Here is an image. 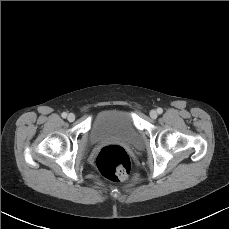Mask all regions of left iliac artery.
<instances>
[{"label":"left iliac artery","instance_id":"1","mask_svg":"<svg viewBox=\"0 0 229 229\" xmlns=\"http://www.w3.org/2000/svg\"><path fill=\"white\" fill-rule=\"evenodd\" d=\"M162 112H163V109H162V108H158V109H157V113H158V114H161Z\"/></svg>","mask_w":229,"mask_h":229}]
</instances>
